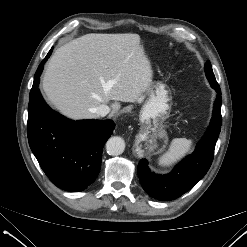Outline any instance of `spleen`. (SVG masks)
Instances as JSON below:
<instances>
[{
	"mask_svg": "<svg viewBox=\"0 0 247 247\" xmlns=\"http://www.w3.org/2000/svg\"><path fill=\"white\" fill-rule=\"evenodd\" d=\"M192 144L193 142L190 139H174L169 150L159 157L158 164L160 166H171L191 150Z\"/></svg>",
	"mask_w": 247,
	"mask_h": 247,
	"instance_id": "3e777b00",
	"label": "spleen"
}]
</instances>
